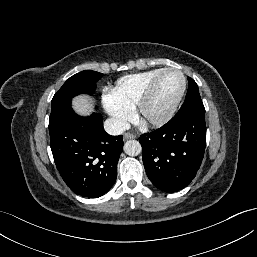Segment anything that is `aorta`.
<instances>
[{
    "mask_svg": "<svg viewBox=\"0 0 257 257\" xmlns=\"http://www.w3.org/2000/svg\"><path fill=\"white\" fill-rule=\"evenodd\" d=\"M124 151L129 156H137L141 153V144L136 140H129L124 145Z\"/></svg>",
    "mask_w": 257,
    "mask_h": 257,
    "instance_id": "obj_1",
    "label": "aorta"
}]
</instances>
